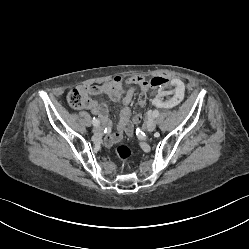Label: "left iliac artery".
I'll return each mask as SVG.
<instances>
[{
  "label": "left iliac artery",
  "mask_w": 249,
  "mask_h": 249,
  "mask_svg": "<svg viewBox=\"0 0 249 249\" xmlns=\"http://www.w3.org/2000/svg\"><path fill=\"white\" fill-rule=\"evenodd\" d=\"M151 115H152L154 118H156V117H158V115H159V111H158V110H154V111L151 113Z\"/></svg>",
  "instance_id": "1"
}]
</instances>
